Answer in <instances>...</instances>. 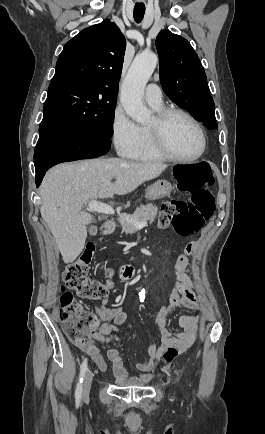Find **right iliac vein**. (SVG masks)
<instances>
[{"label":"right iliac vein","mask_w":265,"mask_h":434,"mask_svg":"<svg viewBox=\"0 0 265 434\" xmlns=\"http://www.w3.org/2000/svg\"><path fill=\"white\" fill-rule=\"evenodd\" d=\"M93 379V372L91 370H88L85 378H84V385H83V399L85 400L89 396L91 384Z\"/></svg>","instance_id":"63e3f726"}]
</instances>
